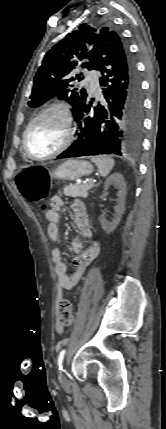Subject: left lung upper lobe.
Returning <instances> with one entry per match:
<instances>
[{"instance_id":"5c2ea615","label":"left lung upper lobe","mask_w":166,"mask_h":429,"mask_svg":"<svg viewBox=\"0 0 166 429\" xmlns=\"http://www.w3.org/2000/svg\"><path fill=\"white\" fill-rule=\"evenodd\" d=\"M114 36L119 37L109 27L94 28L87 24H81L77 30L68 33L45 54L42 66L34 77L29 106L38 107L58 96L73 106L76 117L87 100V93L84 88L71 89L74 80L84 79L80 74L75 75L74 70L80 64L92 70L101 46Z\"/></svg>"}]
</instances>
